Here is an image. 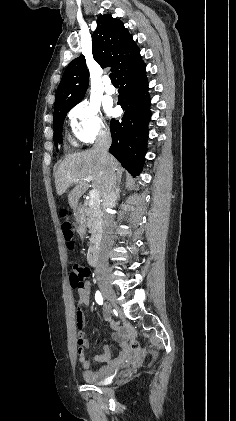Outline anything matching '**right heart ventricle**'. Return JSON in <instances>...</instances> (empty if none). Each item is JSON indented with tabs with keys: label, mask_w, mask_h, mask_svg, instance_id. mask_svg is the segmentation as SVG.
I'll use <instances>...</instances> for the list:
<instances>
[{
	"label": "right heart ventricle",
	"mask_w": 236,
	"mask_h": 421,
	"mask_svg": "<svg viewBox=\"0 0 236 421\" xmlns=\"http://www.w3.org/2000/svg\"><path fill=\"white\" fill-rule=\"evenodd\" d=\"M72 142V144L74 145V146H77V144L74 142V141H71Z\"/></svg>",
	"instance_id": "1"
}]
</instances>
